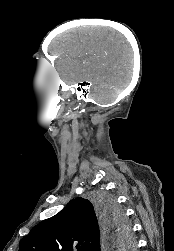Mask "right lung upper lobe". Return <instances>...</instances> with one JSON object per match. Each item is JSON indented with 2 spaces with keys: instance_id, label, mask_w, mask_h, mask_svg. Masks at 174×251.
I'll use <instances>...</instances> for the list:
<instances>
[{
  "instance_id": "right-lung-upper-lobe-1",
  "label": "right lung upper lobe",
  "mask_w": 174,
  "mask_h": 251,
  "mask_svg": "<svg viewBox=\"0 0 174 251\" xmlns=\"http://www.w3.org/2000/svg\"><path fill=\"white\" fill-rule=\"evenodd\" d=\"M105 230L95 205L77 198L33 227L19 251H100Z\"/></svg>"
}]
</instances>
